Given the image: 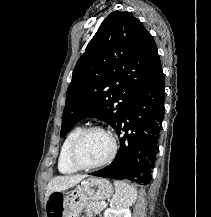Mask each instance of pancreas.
Returning a JSON list of instances; mask_svg holds the SVG:
<instances>
[{
	"mask_svg": "<svg viewBox=\"0 0 211 217\" xmlns=\"http://www.w3.org/2000/svg\"><path fill=\"white\" fill-rule=\"evenodd\" d=\"M104 206L101 205L100 202L97 201H89L88 204L86 205V214L87 217H92V214H98L103 210Z\"/></svg>",
	"mask_w": 211,
	"mask_h": 217,
	"instance_id": "pancreas-1",
	"label": "pancreas"
}]
</instances>
